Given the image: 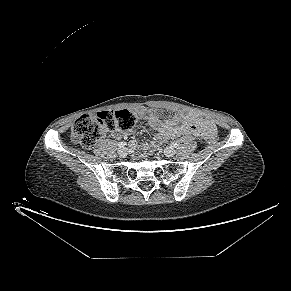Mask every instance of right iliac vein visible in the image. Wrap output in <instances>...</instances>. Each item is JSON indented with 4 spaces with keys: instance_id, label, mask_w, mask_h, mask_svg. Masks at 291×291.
I'll list each match as a JSON object with an SVG mask.
<instances>
[{
    "instance_id": "right-iliac-vein-1",
    "label": "right iliac vein",
    "mask_w": 291,
    "mask_h": 291,
    "mask_svg": "<svg viewBox=\"0 0 291 291\" xmlns=\"http://www.w3.org/2000/svg\"><path fill=\"white\" fill-rule=\"evenodd\" d=\"M118 154H119V156H121V157L126 156V155H127V149H126V148H120V149L118 150Z\"/></svg>"
}]
</instances>
